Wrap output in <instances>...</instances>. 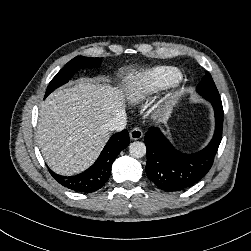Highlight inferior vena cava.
Listing matches in <instances>:
<instances>
[{
	"instance_id": "602c4592",
	"label": "inferior vena cava",
	"mask_w": 251,
	"mask_h": 251,
	"mask_svg": "<svg viewBox=\"0 0 251 251\" xmlns=\"http://www.w3.org/2000/svg\"><path fill=\"white\" fill-rule=\"evenodd\" d=\"M127 117L124 111L118 113L115 117H113L108 123V129L110 131H122L126 127Z\"/></svg>"
}]
</instances>
